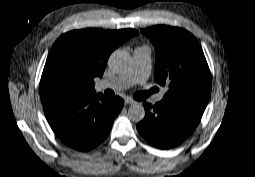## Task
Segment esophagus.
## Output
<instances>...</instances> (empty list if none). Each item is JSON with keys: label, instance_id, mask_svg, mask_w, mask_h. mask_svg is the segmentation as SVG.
Returning <instances> with one entry per match:
<instances>
[{"label": "esophagus", "instance_id": "esophagus-1", "mask_svg": "<svg viewBox=\"0 0 255 177\" xmlns=\"http://www.w3.org/2000/svg\"><path fill=\"white\" fill-rule=\"evenodd\" d=\"M137 101H135L134 99L130 98V97H126L125 98V104H136Z\"/></svg>", "mask_w": 255, "mask_h": 177}]
</instances>
